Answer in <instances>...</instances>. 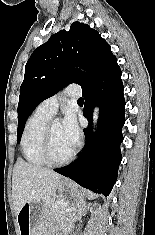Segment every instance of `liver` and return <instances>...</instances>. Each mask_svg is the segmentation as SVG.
Returning <instances> with one entry per match:
<instances>
[{"label":"liver","mask_w":155,"mask_h":235,"mask_svg":"<svg viewBox=\"0 0 155 235\" xmlns=\"http://www.w3.org/2000/svg\"><path fill=\"white\" fill-rule=\"evenodd\" d=\"M62 178L52 170L18 160L13 169L12 198L15 215L27 202L49 201L55 197Z\"/></svg>","instance_id":"1"}]
</instances>
